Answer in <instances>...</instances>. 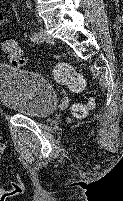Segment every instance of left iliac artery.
<instances>
[{"instance_id": "44dca946", "label": "left iliac artery", "mask_w": 123, "mask_h": 201, "mask_svg": "<svg viewBox=\"0 0 123 201\" xmlns=\"http://www.w3.org/2000/svg\"><path fill=\"white\" fill-rule=\"evenodd\" d=\"M33 39H34V41H36V42H39V41H40V34H39V32H34V34H33Z\"/></svg>"}]
</instances>
